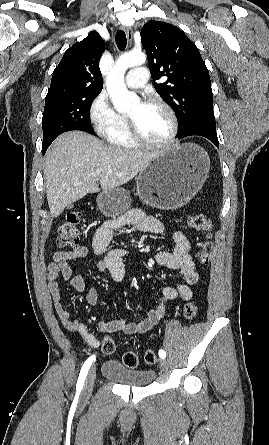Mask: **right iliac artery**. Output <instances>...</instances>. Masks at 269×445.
Segmentation results:
<instances>
[{
	"mask_svg": "<svg viewBox=\"0 0 269 445\" xmlns=\"http://www.w3.org/2000/svg\"><path fill=\"white\" fill-rule=\"evenodd\" d=\"M95 358H96L95 355L89 357L85 361L84 365L82 366V369H81L79 377H78L77 385H76L77 392H81L84 382H85V379H86V376H87V373L89 371V368H90L92 362L95 360Z\"/></svg>",
	"mask_w": 269,
	"mask_h": 445,
	"instance_id": "82829eb1",
	"label": "right iliac artery"
}]
</instances>
